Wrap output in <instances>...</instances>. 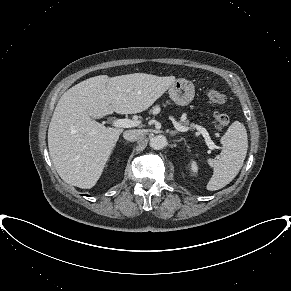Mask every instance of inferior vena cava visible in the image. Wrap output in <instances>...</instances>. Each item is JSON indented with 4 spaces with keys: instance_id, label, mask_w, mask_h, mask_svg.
<instances>
[{
    "instance_id": "602c4592",
    "label": "inferior vena cava",
    "mask_w": 291,
    "mask_h": 291,
    "mask_svg": "<svg viewBox=\"0 0 291 291\" xmlns=\"http://www.w3.org/2000/svg\"><path fill=\"white\" fill-rule=\"evenodd\" d=\"M145 136L144 130H127L123 133V137L128 141H137L143 139Z\"/></svg>"
}]
</instances>
